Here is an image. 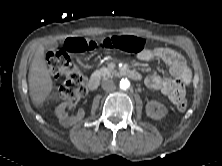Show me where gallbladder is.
Wrapping results in <instances>:
<instances>
[{"label": "gallbladder", "mask_w": 222, "mask_h": 166, "mask_svg": "<svg viewBox=\"0 0 222 166\" xmlns=\"http://www.w3.org/2000/svg\"><path fill=\"white\" fill-rule=\"evenodd\" d=\"M57 46H58V43H50V44L48 45V47H49L50 49H55Z\"/></svg>", "instance_id": "obj_1"}]
</instances>
